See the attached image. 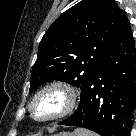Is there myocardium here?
Returning a JSON list of instances; mask_svg holds the SVG:
<instances>
[{"label":"myocardium","instance_id":"f54148a6","mask_svg":"<svg viewBox=\"0 0 136 136\" xmlns=\"http://www.w3.org/2000/svg\"><path fill=\"white\" fill-rule=\"evenodd\" d=\"M50 91H59L64 96V100H65L64 105L62 109L57 113L48 117L39 118L34 114L33 111L34 104L41 95ZM77 102H78L77 91L72 85L62 80H54L45 84L33 95L29 103V112L31 114V117L38 122L55 121L62 119L68 116L70 113H72L75 107L77 106Z\"/></svg>","mask_w":136,"mask_h":136}]
</instances>
